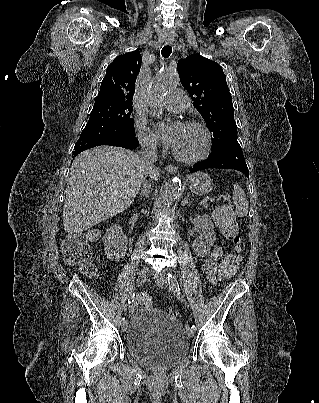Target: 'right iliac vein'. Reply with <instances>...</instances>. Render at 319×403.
<instances>
[{"instance_id":"right-iliac-vein-1","label":"right iliac vein","mask_w":319,"mask_h":403,"mask_svg":"<svg viewBox=\"0 0 319 403\" xmlns=\"http://www.w3.org/2000/svg\"><path fill=\"white\" fill-rule=\"evenodd\" d=\"M148 274H149V268L143 267V268L140 270V272L138 273V276H137V280H136L137 286H141L142 284L145 283ZM127 327H128V323H127V321L125 320V321H123L122 324H121V329H122V331L125 332V331L127 330Z\"/></svg>"}]
</instances>
